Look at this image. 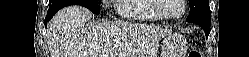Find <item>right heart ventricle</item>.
<instances>
[{
    "label": "right heart ventricle",
    "mask_w": 249,
    "mask_h": 57,
    "mask_svg": "<svg viewBox=\"0 0 249 57\" xmlns=\"http://www.w3.org/2000/svg\"><path fill=\"white\" fill-rule=\"evenodd\" d=\"M154 0H120L118 13L132 21H158L161 16L153 8Z\"/></svg>",
    "instance_id": "obj_1"
}]
</instances>
